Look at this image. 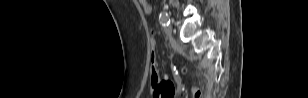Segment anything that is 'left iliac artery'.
I'll use <instances>...</instances> for the list:
<instances>
[{"label": "left iliac artery", "instance_id": "44dca946", "mask_svg": "<svg viewBox=\"0 0 308 98\" xmlns=\"http://www.w3.org/2000/svg\"><path fill=\"white\" fill-rule=\"evenodd\" d=\"M159 21L162 26H168L170 24V17L167 12H161L159 15Z\"/></svg>", "mask_w": 308, "mask_h": 98}]
</instances>
